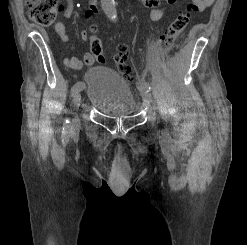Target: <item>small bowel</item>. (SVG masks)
I'll use <instances>...</instances> for the list:
<instances>
[{"instance_id": "obj_1", "label": "small bowel", "mask_w": 247, "mask_h": 245, "mask_svg": "<svg viewBox=\"0 0 247 245\" xmlns=\"http://www.w3.org/2000/svg\"><path fill=\"white\" fill-rule=\"evenodd\" d=\"M145 6L152 8L150 12V17L153 21H160L167 13L168 9L161 7V3L163 0H140ZM168 4L173 5L177 0H164ZM215 0H194L195 4L199 11H203L204 9L210 7ZM74 3L73 0H67V4L65 8L62 10L63 18H70L73 14ZM97 13V3L96 0H91L89 7L85 11V18L89 19L94 14ZM54 30L59 36L60 40L63 43H67L69 40L65 25L63 22L59 21L55 24ZM82 40L87 39V32L82 31L80 34ZM95 55L91 52H88L84 55L83 60H80L76 57L65 58L64 63L67 67L72 69H81L84 65L90 66L95 62Z\"/></svg>"}]
</instances>
